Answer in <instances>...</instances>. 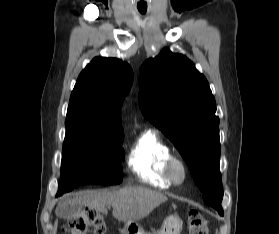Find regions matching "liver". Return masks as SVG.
I'll list each match as a JSON object with an SVG mask.
<instances>
[{"label": "liver", "instance_id": "liver-1", "mask_svg": "<svg viewBox=\"0 0 279 234\" xmlns=\"http://www.w3.org/2000/svg\"><path fill=\"white\" fill-rule=\"evenodd\" d=\"M167 201V197L144 187H125L117 191H86L78 197L58 205L56 213L69 205H80L107 213L106 205L113 208L112 215L118 221L132 222L148 216L156 207Z\"/></svg>", "mask_w": 279, "mask_h": 234}]
</instances>
